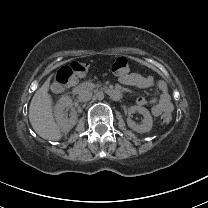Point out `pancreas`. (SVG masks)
<instances>
[{"instance_id": "obj_1", "label": "pancreas", "mask_w": 208, "mask_h": 208, "mask_svg": "<svg viewBox=\"0 0 208 208\" xmlns=\"http://www.w3.org/2000/svg\"><path fill=\"white\" fill-rule=\"evenodd\" d=\"M88 85H89V83L84 82V83L79 84L78 88L79 89L87 88ZM103 89L104 88H102L99 83L92 84V90L95 91V92H97L98 90H103Z\"/></svg>"}]
</instances>
